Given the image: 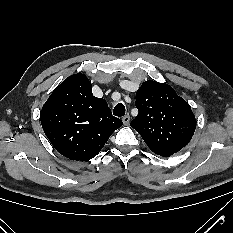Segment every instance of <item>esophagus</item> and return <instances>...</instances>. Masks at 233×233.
<instances>
[{"label": "esophagus", "instance_id": "34e87169", "mask_svg": "<svg viewBox=\"0 0 233 233\" xmlns=\"http://www.w3.org/2000/svg\"><path fill=\"white\" fill-rule=\"evenodd\" d=\"M122 121H123L124 125H128L129 122H130V116H129V115H125V116L122 118Z\"/></svg>", "mask_w": 233, "mask_h": 233}]
</instances>
